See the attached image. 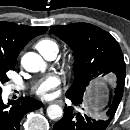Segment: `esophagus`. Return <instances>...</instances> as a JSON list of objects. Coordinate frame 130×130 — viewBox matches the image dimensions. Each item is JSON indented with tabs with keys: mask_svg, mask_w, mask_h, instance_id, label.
<instances>
[{
	"mask_svg": "<svg viewBox=\"0 0 130 130\" xmlns=\"http://www.w3.org/2000/svg\"><path fill=\"white\" fill-rule=\"evenodd\" d=\"M52 103H56V104H59V105L63 104V102L61 100H54L52 102H46V104H52Z\"/></svg>",
	"mask_w": 130,
	"mask_h": 130,
	"instance_id": "34e87169",
	"label": "esophagus"
}]
</instances>
